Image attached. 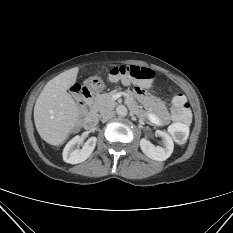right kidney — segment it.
<instances>
[{
    "label": "right kidney",
    "instance_id": "obj_1",
    "mask_svg": "<svg viewBox=\"0 0 233 233\" xmlns=\"http://www.w3.org/2000/svg\"><path fill=\"white\" fill-rule=\"evenodd\" d=\"M96 142V137H90L84 143L82 149H79L78 145L81 143V137L75 136L66 144L63 150V160L70 164H78L85 161L93 152Z\"/></svg>",
    "mask_w": 233,
    "mask_h": 233
}]
</instances>
